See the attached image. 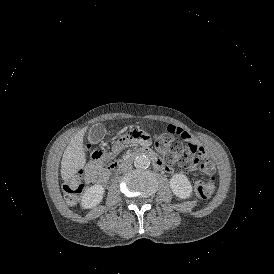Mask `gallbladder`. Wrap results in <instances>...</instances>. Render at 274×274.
Segmentation results:
<instances>
[{
	"mask_svg": "<svg viewBox=\"0 0 274 274\" xmlns=\"http://www.w3.org/2000/svg\"><path fill=\"white\" fill-rule=\"evenodd\" d=\"M106 133L105 126L101 123L94 124L89 132L88 140L97 143L104 138Z\"/></svg>",
	"mask_w": 274,
	"mask_h": 274,
	"instance_id": "gallbladder-1",
	"label": "gallbladder"
}]
</instances>
